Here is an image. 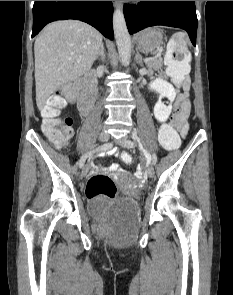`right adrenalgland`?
I'll return each instance as SVG.
<instances>
[{"instance_id": "right-adrenal-gland-1", "label": "right adrenal gland", "mask_w": 233, "mask_h": 295, "mask_svg": "<svg viewBox=\"0 0 233 295\" xmlns=\"http://www.w3.org/2000/svg\"><path fill=\"white\" fill-rule=\"evenodd\" d=\"M104 59H105V47H104V44H103L96 60L104 61Z\"/></svg>"}]
</instances>
